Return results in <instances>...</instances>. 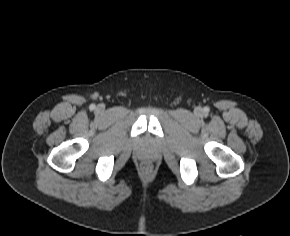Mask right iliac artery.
Here are the masks:
<instances>
[{
    "label": "right iliac artery",
    "mask_w": 290,
    "mask_h": 236,
    "mask_svg": "<svg viewBox=\"0 0 290 236\" xmlns=\"http://www.w3.org/2000/svg\"><path fill=\"white\" fill-rule=\"evenodd\" d=\"M89 108H90V110H94L95 109V105L91 104Z\"/></svg>",
    "instance_id": "obj_1"
}]
</instances>
